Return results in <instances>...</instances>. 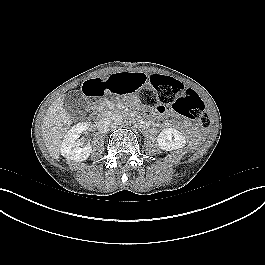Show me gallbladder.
Instances as JSON below:
<instances>
[{"label": "gallbladder", "instance_id": "1", "mask_svg": "<svg viewBox=\"0 0 265 265\" xmlns=\"http://www.w3.org/2000/svg\"><path fill=\"white\" fill-rule=\"evenodd\" d=\"M63 103L64 109L71 117H80L86 113V101L77 91L68 92L65 94Z\"/></svg>", "mask_w": 265, "mask_h": 265}]
</instances>
